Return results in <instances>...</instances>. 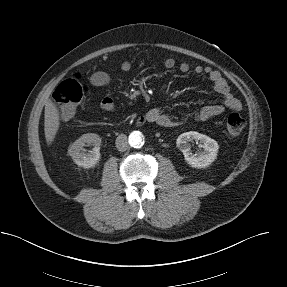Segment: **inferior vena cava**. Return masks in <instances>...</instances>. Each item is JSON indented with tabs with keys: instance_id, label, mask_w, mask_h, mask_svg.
Segmentation results:
<instances>
[{
	"instance_id": "1",
	"label": "inferior vena cava",
	"mask_w": 287,
	"mask_h": 287,
	"mask_svg": "<svg viewBox=\"0 0 287 287\" xmlns=\"http://www.w3.org/2000/svg\"><path fill=\"white\" fill-rule=\"evenodd\" d=\"M116 148L121 151L124 152L127 150L128 148V140H127V136L125 134H120L117 138H116Z\"/></svg>"
}]
</instances>
